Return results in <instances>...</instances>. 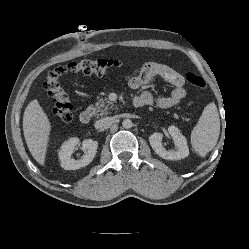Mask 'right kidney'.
<instances>
[{"mask_svg": "<svg viewBox=\"0 0 249 249\" xmlns=\"http://www.w3.org/2000/svg\"><path fill=\"white\" fill-rule=\"evenodd\" d=\"M79 144L80 141L78 138H71L62 144L58 154L62 168L66 170H77L92 162L97 152L98 142L92 139L84 140L81 145L85 150V154L81 159L74 160L71 158V155Z\"/></svg>", "mask_w": 249, "mask_h": 249, "instance_id": "right-kidney-1", "label": "right kidney"}]
</instances>
